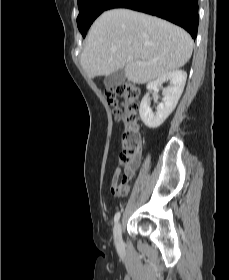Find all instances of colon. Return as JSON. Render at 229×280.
<instances>
[{
  "label": "colon",
  "mask_w": 229,
  "mask_h": 280,
  "mask_svg": "<svg viewBox=\"0 0 229 280\" xmlns=\"http://www.w3.org/2000/svg\"><path fill=\"white\" fill-rule=\"evenodd\" d=\"M108 104L113 107L116 120L123 122V131L120 136L122 152L120 161L130 167L140 149L139 141V104L141 89L130 82H124L105 89ZM118 98L122 99V109L119 108ZM115 192H127L129 181L127 175L119 183L112 185Z\"/></svg>",
  "instance_id": "5ec220e1"
}]
</instances>
